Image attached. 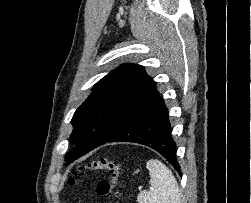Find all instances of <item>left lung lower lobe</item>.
I'll use <instances>...</instances> for the list:
<instances>
[{"label":"left lung lower lobe","instance_id":"left-lung-lower-lobe-1","mask_svg":"<svg viewBox=\"0 0 251 203\" xmlns=\"http://www.w3.org/2000/svg\"><path fill=\"white\" fill-rule=\"evenodd\" d=\"M107 142H134L160 153L181 174L176 144L171 135L168 109L159 97Z\"/></svg>","mask_w":251,"mask_h":203}]
</instances>
